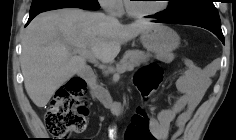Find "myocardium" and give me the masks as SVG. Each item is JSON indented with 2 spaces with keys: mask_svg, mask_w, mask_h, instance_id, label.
Instances as JSON below:
<instances>
[{
  "mask_svg": "<svg viewBox=\"0 0 236 140\" xmlns=\"http://www.w3.org/2000/svg\"><path fill=\"white\" fill-rule=\"evenodd\" d=\"M167 7H168V4L166 1H164V3H162L161 6L158 7L157 9H154L152 11H147V12H140V11H136L132 8L130 0L126 1L127 13L130 16H132L134 18H138V19H144V18H149V17L155 16V15L163 12L164 10H166Z\"/></svg>",
  "mask_w": 236,
  "mask_h": 140,
  "instance_id": "myocardium-1",
  "label": "myocardium"
}]
</instances>
